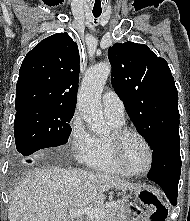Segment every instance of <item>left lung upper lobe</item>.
Returning a JSON list of instances; mask_svg holds the SVG:
<instances>
[{"mask_svg":"<svg viewBox=\"0 0 190 221\" xmlns=\"http://www.w3.org/2000/svg\"><path fill=\"white\" fill-rule=\"evenodd\" d=\"M108 55L112 86L151 149L179 137L178 93L166 60L134 42L116 43Z\"/></svg>","mask_w":190,"mask_h":221,"instance_id":"left-lung-upper-lobe-1","label":"left lung upper lobe"}]
</instances>
